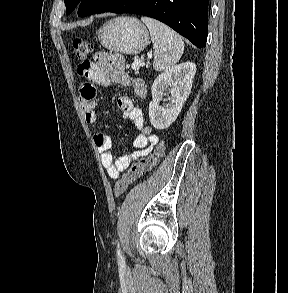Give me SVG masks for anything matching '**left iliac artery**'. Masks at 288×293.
<instances>
[{
  "mask_svg": "<svg viewBox=\"0 0 288 293\" xmlns=\"http://www.w3.org/2000/svg\"><path fill=\"white\" fill-rule=\"evenodd\" d=\"M117 256H118V260L120 262H123L124 261V258H123V255H122V252H121L119 246H118V249H117Z\"/></svg>",
  "mask_w": 288,
  "mask_h": 293,
  "instance_id": "obj_1",
  "label": "left iliac artery"
}]
</instances>
